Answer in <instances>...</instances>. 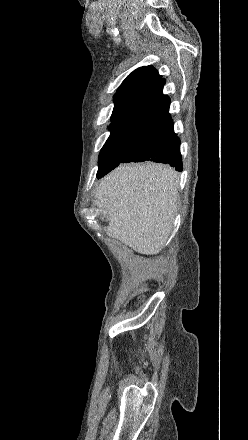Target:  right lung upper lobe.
Segmentation results:
<instances>
[{
  "label": "right lung upper lobe",
  "instance_id": "right-lung-upper-lobe-1",
  "mask_svg": "<svg viewBox=\"0 0 248 440\" xmlns=\"http://www.w3.org/2000/svg\"><path fill=\"white\" fill-rule=\"evenodd\" d=\"M165 80L151 66L133 71L114 95L110 137L133 131L142 123L167 109L170 99L162 90Z\"/></svg>",
  "mask_w": 248,
  "mask_h": 440
}]
</instances>
